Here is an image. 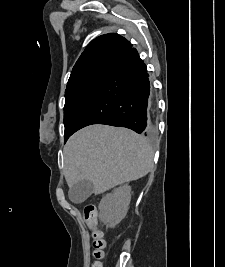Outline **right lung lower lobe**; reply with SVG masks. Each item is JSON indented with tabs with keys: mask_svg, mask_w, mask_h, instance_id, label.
<instances>
[{
	"mask_svg": "<svg viewBox=\"0 0 225 267\" xmlns=\"http://www.w3.org/2000/svg\"><path fill=\"white\" fill-rule=\"evenodd\" d=\"M149 95L147 67L131 47L117 57L87 98L72 134L91 124H106L150 135Z\"/></svg>",
	"mask_w": 225,
	"mask_h": 267,
	"instance_id": "obj_1",
	"label": "right lung lower lobe"
}]
</instances>
